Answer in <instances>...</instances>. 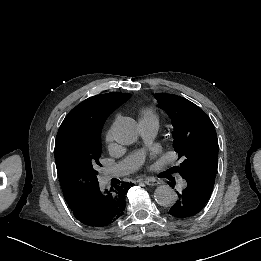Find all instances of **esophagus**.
I'll return each mask as SVG.
<instances>
[{
    "label": "esophagus",
    "mask_w": 261,
    "mask_h": 261,
    "mask_svg": "<svg viewBox=\"0 0 261 261\" xmlns=\"http://www.w3.org/2000/svg\"><path fill=\"white\" fill-rule=\"evenodd\" d=\"M144 183L149 186H156L160 184L159 180L157 179H147L144 181Z\"/></svg>",
    "instance_id": "obj_1"
}]
</instances>
